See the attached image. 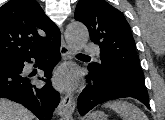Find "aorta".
<instances>
[{
    "label": "aorta",
    "instance_id": "1",
    "mask_svg": "<svg viewBox=\"0 0 165 120\" xmlns=\"http://www.w3.org/2000/svg\"><path fill=\"white\" fill-rule=\"evenodd\" d=\"M66 39L69 46L74 50H81L89 39V32L86 26L77 21H73L67 25Z\"/></svg>",
    "mask_w": 165,
    "mask_h": 120
}]
</instances>
